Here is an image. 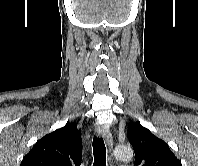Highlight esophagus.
Masks as SVG:
<instances>
[{"label": "esophagus", "mask_w": 198, "mask_h": 166, "mask_svg": "<svg viewBox=\"0 0 198 166\" xmlns=\"http://www.w3.org/2000/svg\"><path fill=\"white\" fill-rule=\"evenodd\" d=\"M95 132L98 137L105 139L108 149H109L110 157H112L113 156V138L109 129L104 126L98 125L95 128Z\"/></svg>", "instance_id": "esophagus-1"}]
</instances>
